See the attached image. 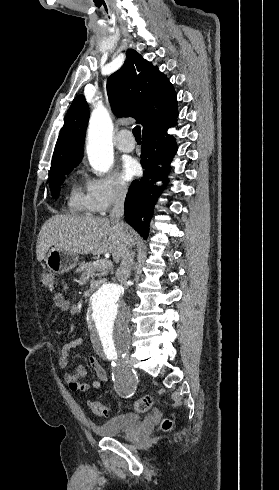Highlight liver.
I'll use <instances>...</instances> for the list:
<instances>
[{
	"label": "liver",
	"mask_w": 279,
	"mask_h": 490,
	"mask_svg": "<svg viewBox=\"0 0 279 490\" xmlns=\"http://www.w3.org/2000/svg\"><path fill=\"white\" fill-rule=\"evenodd\" d=\"M127 240L133 244L138 234L125 224ZM118 226H112L108 218L92 216H52L43 224L36 246L38 262L44 260L49 248H63L72 254H112L114 262H120L126 252L125 240L119 236Z\"/></svg>",
	"instance_id": "1"
}]
</instances>
